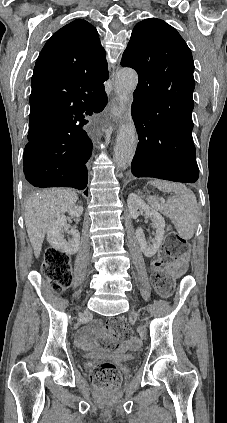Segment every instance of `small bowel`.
Segmentation results:
<instances>
[{
  "mask_svg": "<svg viewBox=\"0 0 227 423\" xmlns=\"http://www.w3.org/2000/svg\"><path fill=\"white\" fill-rule=\"evenodd\" d=\"M185 266H186V263H185V259L183 258L174 265V269L177 272H180V271H183L185 269ZM89 332H90L89 328H83L79 331L78 336H77V344L79 346H81V347L87 346L88 338H89Z\"/></svg>",
  "mask_w": 227,
  "mask_h": 423,
  "instance_id": "c3829d8e",
  "label": "small bowel"
}]
</instances>
